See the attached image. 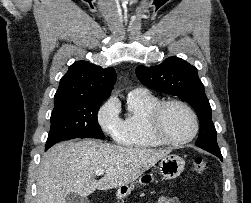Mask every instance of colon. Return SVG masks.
<instances>
[{
	"label": "colon",
	"instance_id": "1",
	"mask_svg": "<svg viewBox=\"0 0 251 203\" xmlns=\"http://www.w3.org/2000/svg\"><path fill=\"white\" fill-rule=\"evenodd\" d=\"M193 167L195 172L203 173L208 169V162L201 157H197L193 162Z\"/></svg>",
	"mask_w": 251,
	"mask_h": 203
}]
</instances>
